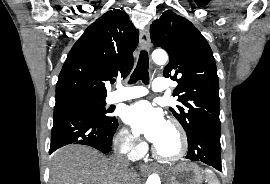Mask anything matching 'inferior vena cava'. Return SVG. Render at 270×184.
<instances>
[{"instance_id": "obj_1", "label": "inferior vena cava", "mask_w": 270, "mask_h": 184, "mask_svg": "<svg viewBox=\"0 0 270 184\" xmlns=\"http://www.w3.org/2000/svg\"><path fill=\"white\" fill-rule=\"evenodd\" d=\"M116 166L121 167L123 169H127L129 166L128 160L125 158L124 155L120 153L119 145H116L115 157L112 161Z\"/></svg>"}]
</instances>
